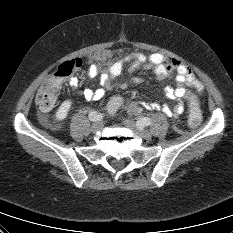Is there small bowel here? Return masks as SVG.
I'll use <instances>...</instances> for the list:
<instances>
[{"instance_id": "c3829d8e", "label": "small bowel", "mask_w": 233, "mask_h": 233, "mask_svg": "<svg viewBox=\"0 0 233 233\" xmlns=\"http://www.w3.org/2000/svg\"><path fill=\"white\" fill-rule=\"evenodd\" d=\"M108 55V54H107ZM128 65L131 72L136 71L139 68L152 67L157 76L165 78L171 74H175L176 87H167L166 95L168 98L177 102L176 106L171 108L168 105H160L158 103H131V109L138 110L141 106L148 110H161L167 116L176 118L183 110V104L189 102L191 92L189 88L195 90L196 93L201 94L203 92L202 83L196 78L193 71L184 63L164 56L160 53L146 54L141 51H135L129 53L111 64L108 69L100 75V87L97 89L85 88L82 92V96L88 101L99 100L103 98L109 91L113 89V79L119 76L124 67ZM98 72L97 66H92L89 70V77H93ZM132 82H140V79L133 76ZM71 87H76L78 79L72 77L69 81ZM126 82H118L120 88L126 87Z\"/></svg>"}]
</instances>
